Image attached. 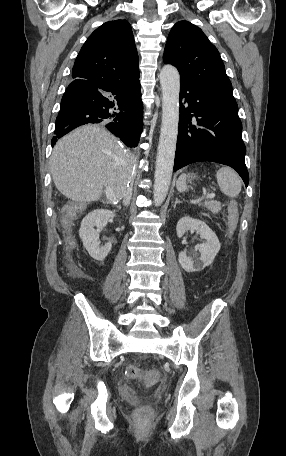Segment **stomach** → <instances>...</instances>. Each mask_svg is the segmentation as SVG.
Instances as JSON below:
<instances>
[{"mask_svg":"<svg viewBox=\"0 0 286 456\" xmlns=\"http://www.w3.org/2000/svg\"><path fill=\"white\" fill-rule=\"evenodd\" d=\"M187 177H188V179H189L190 182L193 181V180L195 179V175H194L193 173H189V174L187 175Z\"/></svg>","mask_w":286,"mask_h":456,"instance_id":"0dacf381","label":"stomach"}]
</instances>
